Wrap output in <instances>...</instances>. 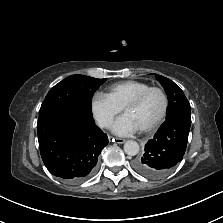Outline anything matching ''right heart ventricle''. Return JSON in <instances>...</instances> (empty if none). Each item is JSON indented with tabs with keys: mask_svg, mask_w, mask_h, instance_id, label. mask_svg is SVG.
<instances>
[{
	"mask_svg": "<svg viewBox=\"0 0 223 223\" xmlns=\"http://www.w3.org/2000/svg\"><path fill=\"white\" fill-rule=\"evenodd\" d=\"M150 87V84L138 80L117 82L108 88L107 95L121 108L138 93Z\"/></svg>",
	"mask_w": 223,
	"mask_h": 223,
	"instance_id": "right-heart-ventricle-1",
	"label": "right heart ventricle"
}]
</instances>
